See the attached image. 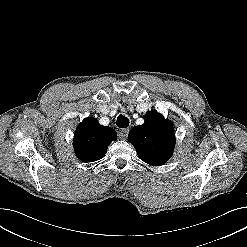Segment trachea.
Returning a JSON list of instances; mask_svg holds the SVG:
<instances>
[{
	"instance_id": "1",
	"label": "trachea",
	"mask_w": 247,
	"mask_h": 247,
	"mask_svg": "<svg viewBox=\"0 0 247 247\" xmlns=\"http://www.w3.org/2000/svg\"><path fill=\"white\" fill-rule=\"evenodd\" d=\"M116 124L119 128H127L129 125V119L124 115H119Z\"/></svg>"
}]
</instances>
